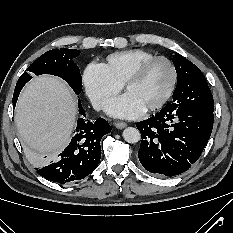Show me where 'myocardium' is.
Masks as SVG:
<instances>
[{"label": "myocardium", "mask_w": 233, "mask_h": 233, "mask_svg": "<svg viewBox=\"0 0 233 233\" xmlns=\"http://www.w3.org/2000/svg\"><path fill=\"white\" fill-rule=\"evenodd\" d=\"M157 62H164L169 66L170 71H171V81H170L169 87H168L167 91L165 92V94L156 103H154L151 106H149L148 108H146V111H148V112L155 111V110L163 107L169 101L171 96L173 95L175 88H176V85H177V81H178V73H177V69H176V66L174 65V63L169 58L164 57V56L153 57L149 60L142 62L140 65H138L127 76V78L125 79V81L123 83V88H124V90L127 91L130 84L139 80L143 76V74L147 71V69L151 65H153L154 63H157Z\"/></svg>", "instance_id": "myocardium-1"}]
</instances>
